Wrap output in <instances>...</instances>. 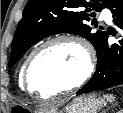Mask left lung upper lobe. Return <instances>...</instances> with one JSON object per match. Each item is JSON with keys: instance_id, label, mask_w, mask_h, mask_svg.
Instances as JSON below:
<instances>
[{"instance_id": "obj_1", "label": "left lung upper lobe", "mask_w": 123, "mask_h": 113, "mask_svg": "<svg viewBox=\"0 0 123 113\" xmlns=\"http://www.w3.org/2000/svg\"><path fill=\"white\" fill-rule=\"evenodd\" d=\"M110 1L30 0L14 35L8 67H12L34 44L57 33L80 35L91 41L97 50L107 33L92 31L91 25L95 23L92 17L95 14L91 11H101Z\"/></svg>"}]
</instances>
